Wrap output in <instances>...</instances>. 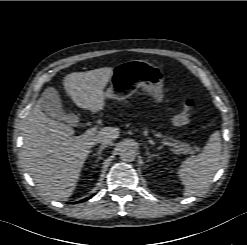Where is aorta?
<instances>
[{
  "instance_id": "1",
  "label": "aorta",
  "mask_w": 247,
  "mask_h": 245,
  "mask_svg": "<svg viewBox=\"0 0 247 245\" xmlns=\"http://www.w3.org/2000/svg\"><path fill=\"white\" fill-rule=\"evenodd\" d=\"M119 157L125 162H132L136 158V150L130 143H125L120 148Z\"/></svg>"
}]
</instances>
